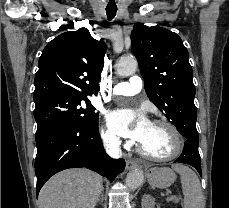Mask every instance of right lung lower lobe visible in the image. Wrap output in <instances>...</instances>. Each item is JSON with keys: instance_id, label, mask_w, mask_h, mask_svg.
<instances>
[{"instance_id": "98d812e1", "label": "right lung lower lobe", "mask_w": 229, "mask_h": 208, "mask_svg": "<svg viewBox=\"0 0 229 208\" xmlns=\"http://www.w3.org/2000/svg\"><path fill=\"white\" fill-rule=\"evenodd\" d=\"M36 195L54 174L68 168L85 167L107 177L110 182L125 168L123 159L108 157L98 126L87 128L72 122L60 123L36 137Z\"/></svg>"}]
</instances>
